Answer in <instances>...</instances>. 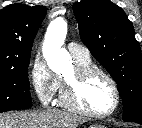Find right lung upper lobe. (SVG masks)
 Returning <instances> with one entry per match:
<instances>
[{
	"label": "right lung upper lobe",
	"instance_id": "cb5924a9",
	"mask_svg": "<svg viewBox=\"0 0 142 128\" xmlns=\"http://www.w3.org/2000/svg\"><path fill=\"white\" fill-rule=\"evenodd\" d=\"M46 14L45 6L12 4L0 10V70L30 60L33 40Z\"/></svg>",
	"mask_w": 142,
	"mask_h": 128
}]
</instances>
